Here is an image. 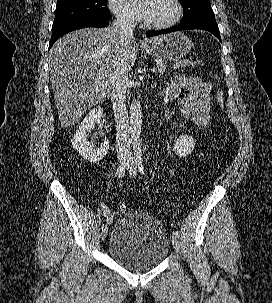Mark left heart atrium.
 <instances>
[{
    "mask_svg": "<svg viewBox=\"0 0 272 303\" xmlns=\"http://www.w3.org/2000/svg\"><path fill=\"white\" fill-rule=\"evenodd\" d=\"M139 12H140L141 15L144 16L145 13H146V6L141 4V5H140Z\"/></svg>",
    "mask_w": 272,
    "mask_h": 303,
    "instance_id": "obj_1",
    "label": "left heart atrium"
}]
</instances>
